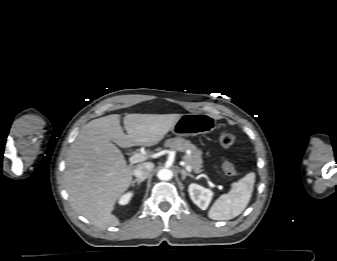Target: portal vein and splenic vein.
<instances>
[{
    "label": "portal vein and splenic vein",
    "mask_w": 337,
    "mask_h": 261,
    "mask_svg": "<svg viewBox=\"0 0 337 261\" xmlns=\"http://www.w3.org/2000/svg\"><path fill=\"white\" fill-rule=\"evenodd\" d=\"M146 159H147V156H146V155L141 154V153H136V154L132 155V156L129 158V161H130L131 164H134V163L142 162V161H144V160H146ZM185 169H186L187 171H189V172L192 171L191 166H190V165H187V164L185 165Z\"/></svg>",
    "instance_id": "1"
}]
</instances>
